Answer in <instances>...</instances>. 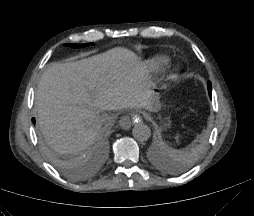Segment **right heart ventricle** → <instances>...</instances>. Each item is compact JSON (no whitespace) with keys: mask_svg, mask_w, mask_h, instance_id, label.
<instances>
[{"mask_svg":"<svg viewBox=\"0 0 254 216\" xmlns=\"http://www.w3.org/2000/svg\"><path fill=\"white\" fill-rule=\"evenodd\" d=\"M169 62L166 55H157L148 60V69L152 74L159 73Z\"/></svg>","mask_w":254,"mask_h":216,"instance_id":"right-heart-ventricle-1","label":"right heart ventricle"}]
</instances>
